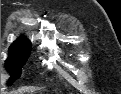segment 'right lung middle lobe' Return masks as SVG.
Wrapping results in <instances>:
<instances>
[{
	"mask_svg": "<svg viewBox=\"0 0 121 94\" xmlns=\"http://www.w3.org/2000/svg\"><path fill=\"white\" fill-rule=\"evenodd\" d=\"M31 50V44L29 41L25 40L17 44H13L9 48V56L6 60V68L12 74V78L9 81L11 84L21 74V67L25 65Z\"/></svg>",
	"mask_w": 121,
	"mask_h": 94,
	"instance_id": "dd1d6c3e",
	"label": "right lung middle lobe"
}]
</instances>
